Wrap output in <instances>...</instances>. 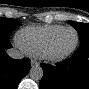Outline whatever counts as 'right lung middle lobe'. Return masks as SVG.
Segmentation results:
<instances>
[{"instance_id":"dd1d6c3e","label":"right lung middle lobe","mask_w":89,"mask_h":89,"mask_svg":"<svg viewBox=\"0 0 89 89\" xmlns=\"http://www.w3.org/2000/svg\"><path fill=\"white\" fill-rule=\"evenodd\" d=\"M19 26L21 22L16 19L0 18V39H9L10 34Z\"/></svg>"}]
</instances>
